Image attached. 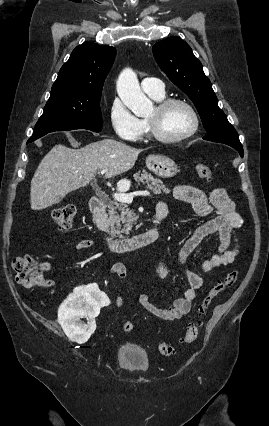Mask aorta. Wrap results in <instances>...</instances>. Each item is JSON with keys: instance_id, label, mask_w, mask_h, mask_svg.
Wrapping results in <instances>:
<instances>
[{"instance_id": "762f6f07", "label": "aorta", "mask_w": 269, "mask_h": 426, "mask_svg": "<svg viewBox=\"0 0 269 426\" xmlns=\"http://www.w3.org/2000/svg\"><path fill=\"white\" fill-rule=\"evenodd\" d=\"M117 92L123 103L138 117L152 110V102L142 92L137 75L131 69H125L119 75Z\"/></svg>"}]
</instances>
